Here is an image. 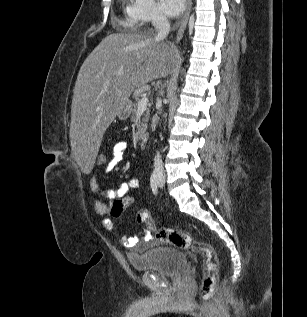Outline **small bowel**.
I'll use <instances>...</instances> for the list:
<instances>
[{"label":"small bowel","instance_id":"c3829d8e","mask_svg":"<svg viewBox=\"0 0 307 317\" xmlns=\"http://www.w3.org/2000/svg\"><path fill=\"white\" fill-rule=\"evenodd\" d=\"M128 150L129 144L126 141H118L117 143H115L112 149V157L104 167V171L111 172L113 169H115L123 160V157L128 152ZM138 184L139 183L136 178H131L128 181L119 184L116 188L101 190L99 187L97 175H93L89 182L91 191L98 196L109 200V203H104L99 199H95L93 202V206L96 213L100 216H106L113 202L116 199L124 197L130 190L136 189L138 187ZM103 224L104 227L108 230L114 229L113 223L109 219H105ZM151 239L152 235L150 234V232L145 231L141 234L140 237L123 235L121 237V243L126 248L134 249L137 247L145 246L151 241Z\"/></svg>","mask_w":307,"mask_h":317}]
</instances>
